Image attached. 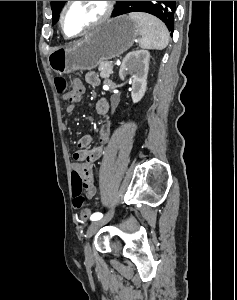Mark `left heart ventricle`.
<instances>
[{
  "instance_id": "left-heart-ventricle-1",
  "label": "left heart ventricle",
  "mask_w": 237,
  "mask_h": 300,
  "mask_svg": "<svg viewBox=\"0 0 237 300\" xmlns=\"http://www.w3.org/2000/svg\"><path fill=\"white\" fill-rule=\"evenodd\" d=\"M104 11V1H74L65 14L64 28L74 35L97 20Z\"/></svg>"
}]
</instances>
